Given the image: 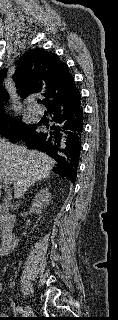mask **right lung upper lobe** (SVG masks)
Instances as JSON below:
<instances>
[{
  "label": "right lung upper lobe",
  "instance_id": "right-lung-upper-lobe-1",
  "mask_svg": "<svg viewBox=\"0 0 118 320\" xmlns=\"http://www.w3.org/2000/svg\"><path fill=\"white\" fill-rule=\"evenodd\" d=\"M19 63H22V66L16 69L13 78L18 84V93L23 98L31 94H41L46 97L43 103L47 105L76 89L67 64L60 61L57 54L44 49H32L21 57ZM5 76L6 69L1 70L0 83ZM7 98L8 94L0 84V118L5 117L2 102Z\"/></svg>",
  "mask_w": 118,
  "mask_h": 320
}]
</instances>
